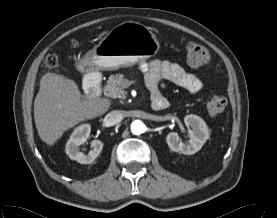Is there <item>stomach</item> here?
Here are the masks:
<instances>
[{"mask_svg": "<svg viewBox=\"0 0 277 218\" xmlns=\"http://www.w3.org/2000/svg\"><path fill=\"white\" fill-rule=\"evenodd\" d=\"M160 49L155 34L143 24L123 22L113 29L80 61L84 71L117 70L155 56Z\"/></svg>", "mask_w": 277, "mask_h": 218, "instance_id": "0dacf381", "label": "stomach"}]
</instances>
